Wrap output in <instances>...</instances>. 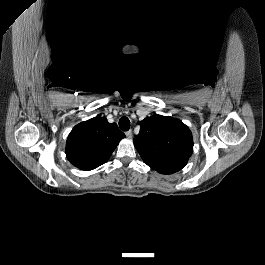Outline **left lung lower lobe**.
Here are the masks:
<instances>
[{
	"label": "left lung lower lobe",
	"mask_w": 265,
	"mask_h": 265,
	"mask_svg": "<svg viewBox=\"0 0 265 265\" xmlns=\"http://www.w3.org/2000/svg\"><path fill=\"white\" fill-rule=\"evenodd\" d=\"M185 165L186 164H176V165L166 167V168L159 170L157 172H159L161 174H173L175 172L180 171Z\"/></svg>",
	"instance_id": "1"
}]
</instances>
